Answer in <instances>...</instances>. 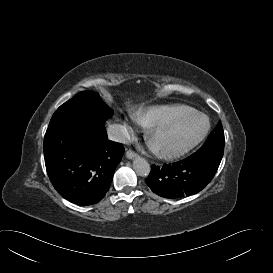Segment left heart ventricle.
<instances>
[{"mask_svg":"<svg viewBox=\"0 0 273 273\" xmlns=\"http://www.w3.org/2000/svg\"><path fill=\"white\" fill-rule=\"evenodd\" d=\"M204 127L205 120L202 117H193L177 127L158 133L154 142L159 149H180L196 139Z\"/></svg>","mask_w":273,"mask_h":273,"instance_id":"1","label":"left heart ventricle"}]
</instances>
